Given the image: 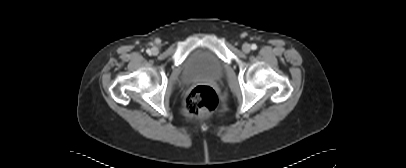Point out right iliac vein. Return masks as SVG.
I'll return each mask as SVG.
<instances>
[{
  "label": "right iliac vein",
  "instance_id": "obj_1",
  "mask_svg": "<svg viewBox=\"0 0 406 168\" xmlns=\"http://www.w3.org/2000/svg\"><path fill=\"white\" fill-rule=\"evenodd\" d=\"M151 53H152L153 55H157V54H158V48L153 47V48L151 49Z\"/></svg>",
  "mask_w": 406,
  "mask_h": 168
}]
</instances>
